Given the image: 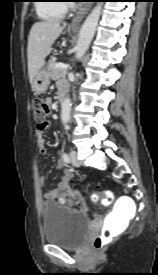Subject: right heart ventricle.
<instances>
[{
	"label": "right heart ventricle",
	"instance_id": "e07e8e85",
	"mask_svg": "<svg viewBox=\"0 0 158 275\" xmlns=\"http://www.w3.org/2000/svg\"><path fill=\"white\" fill-rule=\"evenodd\" d=\"M62 0H42L36 5L38 15L45 20H59L66 14V4Z\"/></svg>",
	"mask_w": 158,
	"mask_h": 275
}]
</instances>
